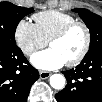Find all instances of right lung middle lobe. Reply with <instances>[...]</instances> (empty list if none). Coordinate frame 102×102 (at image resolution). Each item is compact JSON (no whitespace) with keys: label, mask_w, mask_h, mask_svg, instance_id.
Returning <instances> with one entry per match:
<instances>
[{"label":"right lung middle lobe","mask_w":102,"mask_h":102,"mask_svg":"<svg viewBox=\"0 0 102 102\" xmlns=\"http://www.w3.org/2000/svg\"><path fill=\"white\" fill-rule=\"evenodd\" d=\"M34 12L33 8L18 7L10 2H0V46L16 47L15 30L19 21Z\"/></svg>","instance_id":"1"}]
</instances>
